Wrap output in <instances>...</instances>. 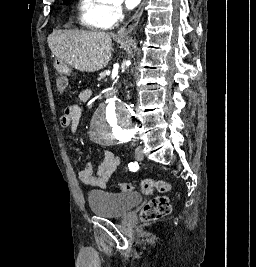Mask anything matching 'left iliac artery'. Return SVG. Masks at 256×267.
Listing matches in <instances>:
<instances>
[{"instance_id": "left-iliac-artery-1", "label": "left iliac artery", "mask_w": 256, "mask_h": 267, "mask_svg": "<svg viewBox=\"0 0 256 267\" xmlns=\"http://www.w3.org/2000/svg\"><path fill=\"white\" fill-rule=\"evenodd\" d=\"M128 167H129L130 171H134V170H137L139 168V165L137 162H135V163L131 162L128 164Z\"/></svg>"}]
</instances>
